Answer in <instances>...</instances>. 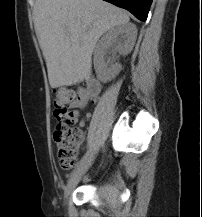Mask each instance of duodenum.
<instances>
[{
    "label": "duodenum",
    "mask_w": 202,
    "mask_h": 217,
    "mask_svg": "<svg viewBox=\"0 0 202 217\" xmlns=\"http://www.w3.org/2000/svg\"><path fill=\"white\" fill-rule=\"evenodd\" d=\"M100 89H101L100 83L97 80H95L94 78H90L88 80V86H87L88 94L90 95L99 94Z\"/></svg>",
    "instance_id": "obj_1"
}]
</instances>
